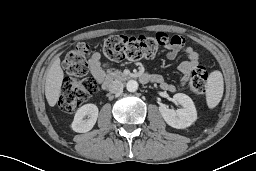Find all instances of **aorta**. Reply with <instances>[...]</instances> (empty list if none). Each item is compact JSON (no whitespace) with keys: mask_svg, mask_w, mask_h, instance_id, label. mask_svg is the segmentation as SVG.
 I'll return each mask as SVG.
<instances>
[{"mask_svg":"<svg viewBox=\"0 0 256 171\" xmlns=\"http://www.w3.org/2000/svg\"><path fill=\"white\" fill-rule=\"evenodd\" d=\"M126 88L129 92H135L138 89V83L135 80H129L126 84Z\"/></svg>","mask_w":256,"mask_h":171,"instance_id":"aorta-1","label":"aorta"}]
</instances>
